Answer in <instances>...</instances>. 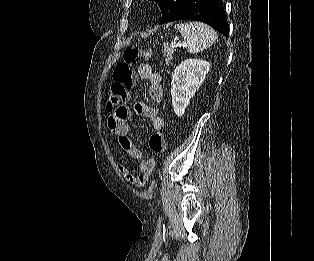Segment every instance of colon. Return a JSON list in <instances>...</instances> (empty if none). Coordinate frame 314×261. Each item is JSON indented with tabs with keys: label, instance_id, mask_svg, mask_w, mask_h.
Returning a JSON list of instances; mask_svg holds the SVG:
<instances>
[{
	"label": "colon",
	"instance_id": "5ec220e1",
	"mask_svg": "<svg viewBox=\"0 0 314 261\" xmlns=\"http://www.w3.org/2000/svg\"><path fill=\"white\" fill-rule=\"evenodd\" d=\"M150 50L137 47H127L123 52V61L119 62L112 74V83L109 86V107L123 105L127 102L128 91L134 84L132 67L140 59H148ZM149 147L154 153H162L165 150V139L161 131H155L149 139Z\"/></svg>",
	"mask_w": 314,
	"mask_h": 261
}]
</instances>
